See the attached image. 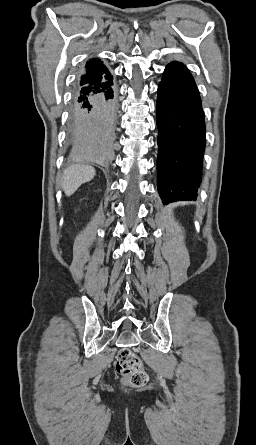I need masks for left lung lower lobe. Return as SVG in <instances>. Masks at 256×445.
<instances>
[{"mask_svg": "<svg viewBox=\"0 0 256 445\" xmlns=\"http://www.w3.org/2000/svg\"><path fill=\"white\" fill-rule=\"evenodd\" d=\"M158 192L164 204L194 200L202 176L205 124L201 99L190 72L170 63L157 97Z\"/></svg>", "mask_w": 256, "mask_h": 445, "instance_id": "1", "label": "left lung lower lobe"}]
</instances>
